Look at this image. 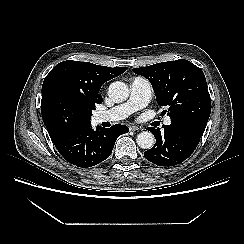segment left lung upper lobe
Instances as JSON below:
<instances>
[{"mask_svg": "<svg viewBox=\"0 0 244 244\" xmlns=\"http://www.w3.org/2000/svg\"><path fill=\"white\" fill-rule=\"evenodd\" d=\"M133 72L151 82L160 106H169L171 124L203 133L211 112V99L205 75L199 67L179 59L134 68Z\"/></svg>", "mask_w": 244, "mask_h": 244, "instance_id": "5c2ea615", "label": "left lung upper lobe"}]
</instances>
